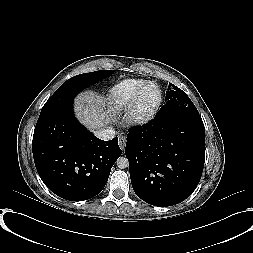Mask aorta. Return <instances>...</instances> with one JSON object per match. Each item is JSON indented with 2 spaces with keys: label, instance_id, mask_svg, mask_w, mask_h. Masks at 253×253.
Listing matches in <instances>:
<instances>
[{
  "label": "aorta",
  "instance_id": "1",
  "mask_svg": "<svg viewBox=\"0 0 253 253\" xmlns=\"http://www.w3.org/2000/svg\"><path fill=\"white\" fill-rule=\"evenodd\" d=\"M117 167L120 169H125L129 166V161L126 157L121 156L116 161Z\"/></svg>",
  "mask_w": 253,
  "mask_h": 253
}]
</instances>
